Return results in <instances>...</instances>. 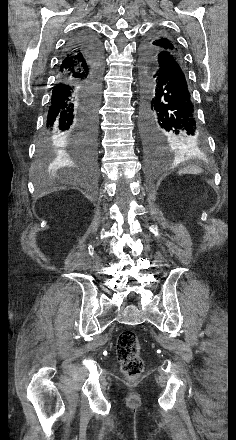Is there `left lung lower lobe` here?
I'll return each mask as SVG.
<instances>
[{"mask_svg": "<svg viewBox=\"0 0 236 440\" xmlns=\"http://www.w3.org/2000/svg\"><path fill=\"white\" fill-rule=\"evenodd\" d=\"M144 95L141 131L147 151L155 156L167 148L195 147L203 143L181 56L142 61Z\"/></svg>", "mask_w": 236, "mask_h": 440, "instance_id": "1", "label": "left lung lower lobe"}]
</instances>
